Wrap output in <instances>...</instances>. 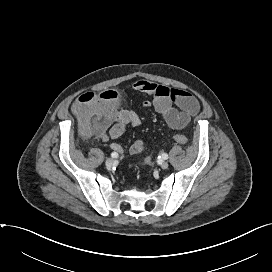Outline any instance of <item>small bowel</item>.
Instances as JSON below:
<instances>
[{
    "label": "small bowel",
    "instance_id": "c3829d8e",
    "mask_svg": "<svg viewBox=\"0 0 272 272\" xmlns=\"http://www.w3.org/2000/svg\"><path fill=\"white\" fill-rule=\"evenodd\" d=\"M133 89L151 96V102H146L144 106H153L156 112L162 115L168 126L175 130L186 128L192 117L200 110L198 100L189 92L181 89L169 88L146 80L136 81L133 84ZM140 123V118L134 111H121L103 128L109 127V130L107 135H102V139L116 140L124 133L127 126L137 127ZM110 146L119 154L124 153L120 144L112 142ZM143 149V142L135 140L129 151L132 154H138Z\"/></svg>",
    "mask_w": 272,
    "mask_h": 272
}]
</instances>
